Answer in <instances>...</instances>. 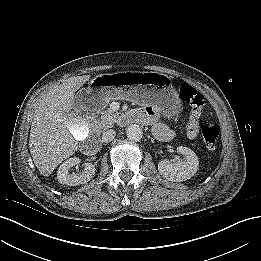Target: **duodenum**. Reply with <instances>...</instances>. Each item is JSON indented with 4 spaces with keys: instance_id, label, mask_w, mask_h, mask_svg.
Instances as JSON below:
<instances>
[{
    "instance_id": "duodenum-1",
    "label": "duodenum",
    "mask_w": 261,
    "mask_h": 261,
    "mask_svg": "<svg viewBox=\"0 0 261 261\" xmlns=\"http://www.w3.org/2000/svg\"><path fill=\"white\" fill-rule=\"evenodd\" d=\"M135 119L134 117V113L133 112H129L126 115V121L127 122H131ZM100 145V141L97 137H93L91 139H89L83 146H82V151L85 154H92L94 153L98 147Z\"/></svg>"
}]
</instances>
